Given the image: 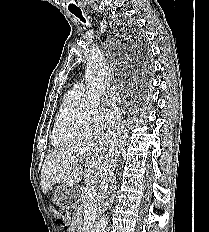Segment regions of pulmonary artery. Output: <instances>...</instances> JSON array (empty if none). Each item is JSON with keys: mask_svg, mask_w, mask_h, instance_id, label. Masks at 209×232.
Returning a JSON list of instances; mask_svg holds the SVG:
<instances>
[{"mask_svg": "<svg viewBox=\"0 0 209 232\" xmlns=\"http://www.w3.org/2000/svg\"><path fill=\"white\" fill-rule=\"evenodd\" d=\"M73 88L83 93L85 86L83 83H77Z\"/></svg>", "mask_w": 209, "mask_h": 232, "instance_id": "obj_1", "label": "pulmonary artery"}]
</instances>
